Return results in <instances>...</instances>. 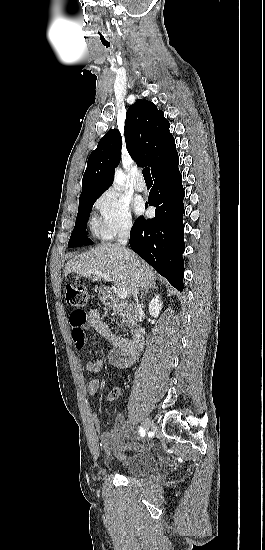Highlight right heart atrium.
Masks as SVG:
<instances>
[{
  "label": "right heart atrium",
  "mask_w": 265,
  "mask_h": 550,
  "mask_svg": "<svg viewBox=\"0 0 265 550\" xmlns=\"http://www.w3.org/2000/svg\"><path fill=\"white\" fill-rule=\"evenodd\" d=\"M99 213V231L103 238L128 233L132 226L130 203L115 189L106 190L95 202Z\"/></svg>",
  "instance_id": "right-heart-atrium-1"
}]
</instances>
